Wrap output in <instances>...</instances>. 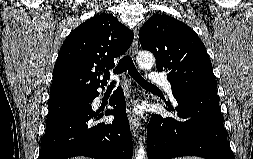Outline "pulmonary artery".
<instances>
[{
  "instance_id": "e3ab8cb5",
  "label": "pulmonary artery",
  "mask_w": 253,
  "mask_h": 159,
  "mask_svg": "<svg viewBox=\"0 0 253 159\" xmlns=\"http://www.w3.org/2000/svg\"><path fill=\"white\" fill-rule=\"evenodd\" d=\"M149 80L152 84L160 85L163 87V89L172 95V84L171 82L167 79L166 74L164 72H157V71H152L149 74ZM172 101L176 104V100L172 98Z\"/></svg>"
}]
</instances>
